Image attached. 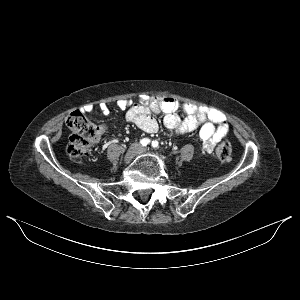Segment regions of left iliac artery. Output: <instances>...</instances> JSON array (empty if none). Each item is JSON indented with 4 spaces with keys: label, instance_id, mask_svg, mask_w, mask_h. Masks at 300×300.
I'll use <instances>...</instances> for the list:
<instances>
[{
    "label": "left iliac artery",
    "instance_id": "obj_1",
    "mask_svg": "<svg viewBox=\"0 0 300 300\" xmlns=\"http://www.w3.org/2000/svg\"><path fill=\"white\" fill-rule=\"evenodd\" d=\"M158 147V141H153L152 142V148H157Z\"/></svg>",
    "mask_w": 300,
    "mask_h": 300
}]
</instances>
